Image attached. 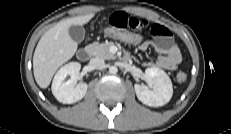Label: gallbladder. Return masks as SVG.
Instances as JSON below:
<instances>
[{
	"mask_svg": "<svg viewBox=\"0 0 231 134\" xmlns=\"http://www.w3.org/2000/svg\"><path fill=\"white\" fill-rule=\"evenodd\" d=\"M69 35L76 43H80L83 41L85 36V30L80 25H72L68 29Z\"/></svg>",
	"mask_w": 231,
	"mask_h": 134,
	"instance_id": "1",
	"label": "gallbladder"
}]
</instances>
